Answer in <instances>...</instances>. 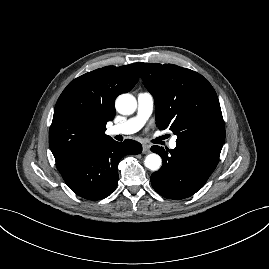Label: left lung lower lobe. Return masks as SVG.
Segmentation results:
<instances>
[{"mask_svg":"<svg viewBox=\"0 0 269 269\" xmlns=\"http://www.w3.org/2000/svg\"><path fill=\"white\" fill-rule=\"evenodd\" d=\"M175 149L152 146L163 158L161 169L151 175L155 191L168 199H184L201 189L216 168L222 143L176 141Z\"/></svg>","mask_w":269,"mask_h":269,"instance_id":"left-lung-lower-lobe-1","label":"left lung lower lobe"}]
</instances>
